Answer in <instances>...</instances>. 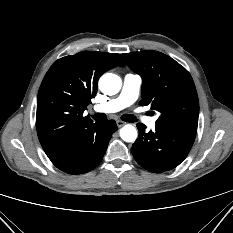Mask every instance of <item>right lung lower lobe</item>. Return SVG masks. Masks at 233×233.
Wrapping results in <instances>:
<instances>
[{"label": "right lung lower lobe", "instance_id": "right-lung-lower-lobe-1", "mask_svg": "<svg viewBox=\"0 0 233 233\" xmlns=\"http://www.w3.org/2000/svg\"><path fill=\"white\" fill-rule=\"evenodd\" d=\"M117 130L114 120L98 123L89 136L86 149L66 158L49 157L51 162L68 174H82L96 167L103 159L112 134Z\"/></svg>", "mask_w": 233, "mask_h": 233}]
</instances>
